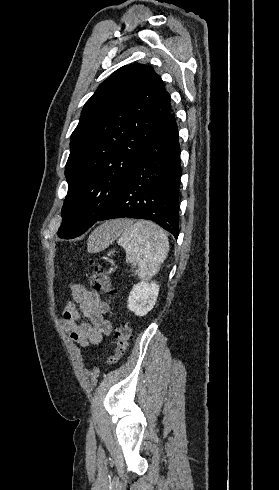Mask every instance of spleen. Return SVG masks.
<instances>
[{
	"label": "spleen",
	"instance_id": "3e777b00",
	"mask_svg": "<svg viewBox=\"0 0 279 490\" xmlns=\"http://www.w3.org/2000/svg\"><path fill=\"white\" fill-rule=\"evenodd\" d=\"M116 238L125 250L127 264L138 266L136 272L141 280L156 276L169 250L168 238L159 226L149 220H139L136 224L129 220H111L93 232L88 252H102Z\"/></svg>",
	"mask_w": 279,
	"mask_h": 490
}]
</instances>
